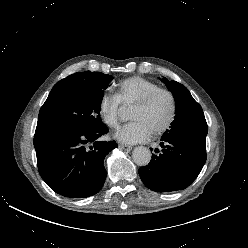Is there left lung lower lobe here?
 <instances>
[{
  "label": "left lung lower lobe",
  "instance_id": "left-lung-lower-lobe-1",
  "mask_svg": "<svg viewBox=\"0 0 248 248\" xmlns=\"http://www.w3.org/2000/svg\"><path fill=\"white\" fill-rule=\"evenodd\" d=\"M160 146V154H152L150 163L139 168L141 180L155 192L185 189L206 162V137L177 133L162 137Z\"/></svg>",
  "mask_w": 248,
  "mask_h": 248
}]
</instances>
